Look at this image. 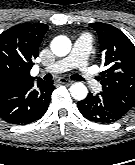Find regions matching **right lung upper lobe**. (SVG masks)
<instances>
[{"label": "right lung upper lobe", "instance_id": "right-lung-upper-lobe-1", "mask_svg": "<svg viewBox=\"0 0 135 165\" xmlns=\"http://www.w3.org/2000/svg\"><path fill=\"white\" fill-rule=\"evenodd\" d=\"M47 30L46 24L25 23L0 34V86L33 82L30 70L33 60L39 55V46Z\"/></svg>", "mask_w": 135, "mask_h": 165}]
</instances>
